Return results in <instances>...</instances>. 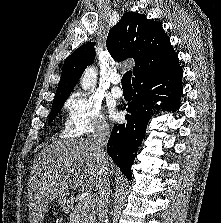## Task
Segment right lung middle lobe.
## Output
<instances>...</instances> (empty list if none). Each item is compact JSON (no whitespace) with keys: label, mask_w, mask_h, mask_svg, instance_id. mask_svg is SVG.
<instances>
[{"label":"right lung middle lobe","mask_w":221,"mask_h":223,"mask_svg":"<svg viewBox=\"0 0 221 223\" xmlns=\"http://www.w3.org/2000/svg\"><path fill=\"white\" fill-rule=\"evenodd\" d=\"M66 99L67 98L53 100L52 109H51V113L49 115L48 123L52 122V120L58 115V113L60 112L61 108L63 107V104Z\"/></svg>","instance_id":"dd1d6c3e"}]
</instances>
